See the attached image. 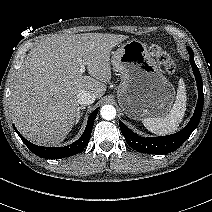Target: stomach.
I'll list each match as a JSON object with an SVG mask.
<instances>
[{"mask_svg":"<svg viewBox=\"0 0 212 212\" xmlns=\"http://www.w3.org/2000/svg\"><path fill=\"white\" fill-rule=\"evenodd\" d=\"M120 73L117 99L131 119L164 117L175 99L173 85L162 74L145 44L132 39L123 43L111 58Z\"/></svg>","mask_w":212,"mask_h":212,"instance_id":"0dacf381","label":"stomach"}]
</instances>
